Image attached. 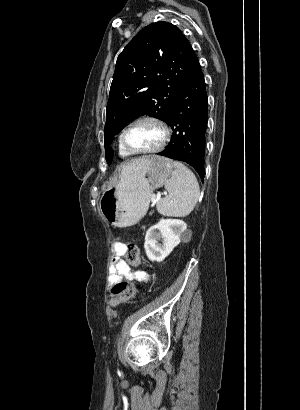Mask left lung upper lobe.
I'll return each instance as SVG.
<instances>
[{
  "label": "left lung upper lobe",
  "instance_id": "5c2ea615",
  "mask_svg": "<svg viewBox=\"0 0 300 410\" xmlns=\"http://www.w3.org/2000/svg\"><path fill=\"white\" fill-rule=\"evenodd\" d=\"M196 58L181 30L168 22L146 26L124 48L107 104L104 147L108 164L114 154L113 137L130 121L146 114L166 121Z\"/></svg>",
  "mask_w": 300,
  "mask_h": 410
}]
</instances>
